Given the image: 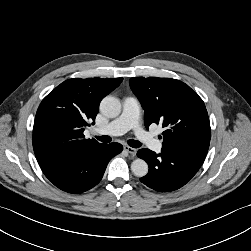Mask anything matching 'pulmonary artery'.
Instances as JSON below:
<instances>
[{"mask_svg":"<svg viewBox=\"0 0 251 251\" xmlns=\"http://www.w3.org/2000/svg\"><path fill=\"white\" fill-rule=\"evenodd\" d=\"M121 115L108 125L95 130L98 135H121L133 129L137 138L155 152H160L162 142L142 129L140 125V104L136 97L126 96L122 101Z\"/></svg>","mask_w":251,"mask_h":251,"instance_id":"pulmonary-artery-1","label":"pulmonary artery"}]
</instances>
